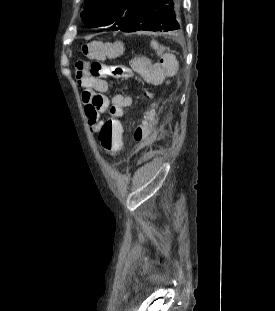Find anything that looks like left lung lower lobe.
<instances>
[{
	"label": "left lung lower lobe",
	"instance_id": "0a47b994",
	"mask_svg": "<svg viewBox=\"0 0 275 311\" xmlns=\"http://www.w3.org/2000/svg\"><path fill=\"white\" fill-rule=\"evenodd\" d=\"M180 29L173 0H144L119 30L177 32Z\"/></svg>",
	"mask_w": 275,
	"mask_h": 311
}]
</instances>
